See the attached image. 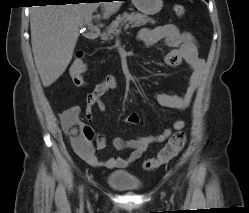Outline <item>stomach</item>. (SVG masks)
Masks as SVG:
<instances>
[{
	"label": "stomach",
	"mask_w": 249,
	"mask_h": 213,
	"mask_svg": "<svg viewBox=\"0 0 249 213\" xmlns=\"http://www.w3.org/2000/svg\"><path fill=\"white\" fill-rule=\"evenodd\" d=\"M135 7L146 15H154L163 7V0H132Z\"/></svg>",
	"instance_id": "0dacf381"
}]
</instances>
